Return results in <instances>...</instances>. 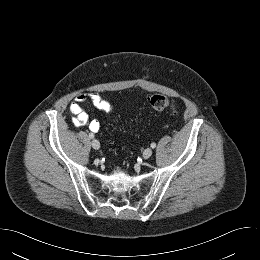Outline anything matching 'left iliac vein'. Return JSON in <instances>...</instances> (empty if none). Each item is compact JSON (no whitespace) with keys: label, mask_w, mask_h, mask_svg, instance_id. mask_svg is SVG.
<instances>
[{"label":"left iliac vein","mask_w":260,"mask_h":260,"mask_svg":"<svg viewBox=\"0 0 260 260\" xmlns=\"http://www.w3.org/2000/svg\"><path fill=\"white\" fill-rule=\"evenodd\" d=\"M152 155V149L147 148L143 151V158L148 159Z\"/></svg>","instance_id":"4c4485c4"}]
</instances>
